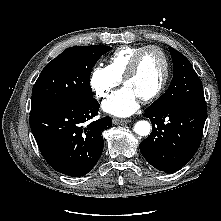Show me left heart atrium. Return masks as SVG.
I'll return each mask as SVG.
<instances>
[{
	"instance_id": "39dd6f15",
	"label": "left heart atrium",
	"mask_w": 221,
	"mask_h": 221,
	"mask_svg": "<svg viewBox=\"0 0 221 221\" xmlns=\"http://www.w3.org/2000/svg\"><path fill=\"white\" fill-rule=\"evenodd\" d=\"M139 98L127 86L114 92L102 104L105 112L118 117H126L133 114L139 107Z\"/></svg>"
}]
</instances>
